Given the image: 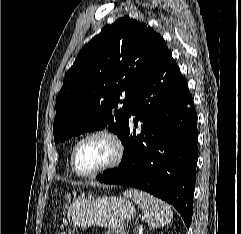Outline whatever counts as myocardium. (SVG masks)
Masks as SVG:
<instances>
[{"instance_id": "1", "label": "myocardium", "mask_w": 241, "mask_h": 234, "mask_svg": "<svg viewBox=\"0 0 241 234\" xmlns=\"http://www.w3.org/2000/svg\"><path fill=\"white\" fill-rule=\"evenodd\" d=\"M94 137L107 138L114 147V156L110 162H108L104 166H102L92 172H87V173L81 172L78 170L77 165H76L77 150L83 142H85L86 140H88L90 138H94ZM124 151H125L124 143L116 133L112 132L109 129H105V128L96 129V130L86 133L75 143V145L72 148V152H71V156H70V165H71L73 172L76 175L83 177V178H92L101 173H104L108 170H111V169L117 167L122 162V159L124 157Z\"/></svg>"}]
</instances>
